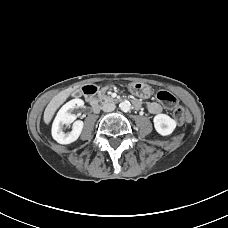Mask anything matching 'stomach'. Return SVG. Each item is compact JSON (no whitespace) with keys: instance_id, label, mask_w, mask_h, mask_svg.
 <instances>
[{"instance_id":"0dacf381","label":"stomach","mask_w":228,"mask_h":228,"mask_svg":"<svg viewBox=\"0 0 228 228\" xmlns=\"http://www.w3.org/2000/svg\"><path fill=\"white\" fill-rule=\"evenodd\" d=\"M129 91L140 98H149L152 94L151 87L143 82L134 81L128 84Z\"/></svg>"}]
</instances>
